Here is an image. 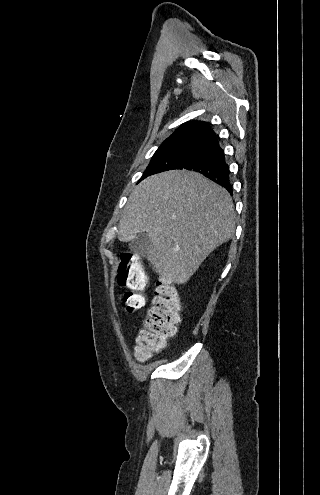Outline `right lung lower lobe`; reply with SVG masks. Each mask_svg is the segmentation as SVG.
Wrapping results in <instances>:
<instances>
[{"label":"right lung lower lobe","instance_id":"1","mask_svg":"<svg viewBox=\"0 0 320 495\" xmlns=\"http://www.w3.org/2000/svg\"><path fill=\"white\" fill-rule=\"evenodd\" d=\"M178 169L199 172L224 187L231 195L233 193L232 185L229 182V167L216 137L207 141Z\"/></svg>","mask_w":320,"mask_h":495}]
</instances>
